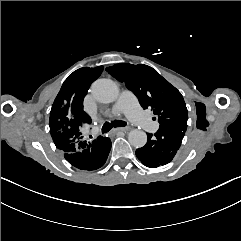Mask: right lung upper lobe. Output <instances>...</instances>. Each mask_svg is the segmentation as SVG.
Listing matches in <instances>:
<instances>
[{
  "mask_svg": "<svg viewBox=\"0 0 241 241\" xmlns=\"http://www.w3.org/2000/svg\"><path fill=\"white\" fill-rule=\"evenodd\" d=\"M103 71V66L91 68L86 75L73 72L64 81L50 111V134L62 153L73 151L76 145L87 143L82 129L91 124V118L83 110V99L91 83Z\"/></svg>",
  "mask_w": 241,
  "mask_h": 241,
  "instance_id": "1",
  "label": "right lung upper lobe"
}]
</instances>
